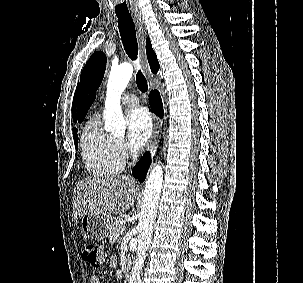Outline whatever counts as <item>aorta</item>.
I'll return each mask as SVG.
<instances>
[{"instance_id": "762f6f07", "label": "aorta", "mask_w": 303, "mask_h": 283, "mask_svg": "<svg viewBox=\"0 0 303 283\" xmlns=\"http://www.w3.org/2000/svg\"><path fill=\"white\" fill-rule=\"evenodd\" d=\"M133 74V66L123 63L111 69L105 101V129L114 135L125 133V120L120 100ZM163 169L155 164L146 181L139 223L137 225L138 246L136 259L128 279V283H143L141 271L147 256L153 233V225L157 216L158 204L162 190Z\"/></svg>"}]
</instances>
